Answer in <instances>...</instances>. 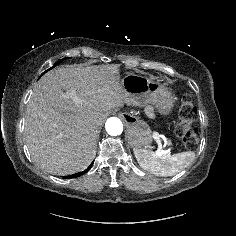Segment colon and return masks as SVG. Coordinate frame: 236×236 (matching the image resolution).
I'll return each instance as SVG.
<instances>
[{"instance_id": "obj_1", "label": "colon", "mask_w": 236, "mask_h": 236, "mask_svg": "<svg viewBox=\"0 0 236 236\" xmlns=\"http://www.w3.org/2000/svg\"><path fill=\"white\" fill-rule=\"evenodd\" d=\"M179 122L175 128L176 136L181 139L188 150H196L200 141V131L192 126L196 116V108L193 105L192 97L183 93L180 98Z\"/></svg>"}]
</instances>
